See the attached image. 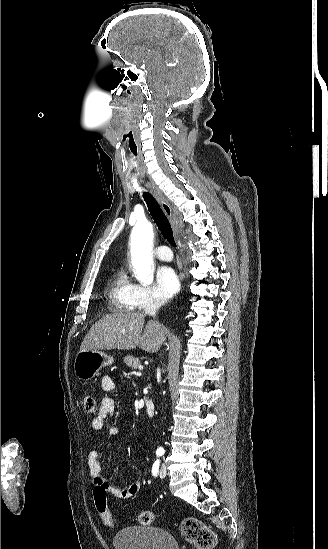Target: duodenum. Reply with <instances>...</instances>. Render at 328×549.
I'll return each mask as SVG.
<instances>
[{
    "label": "duodenum",
    "mask_w": 328,
    "mask_h": 549,
    "mask_svg": "<svg viewBox=\"0 0 328 549\" xmlns=\"http://www.w3.org/2000/svg\"><path fill=\"white\" fill-rule=\"evenodd\" d=\"M145 410L148 415L153 416L155 414V403L152 400L145 402Z\"/></svg>",
    "instance_id": "1"
}]
</instances>
